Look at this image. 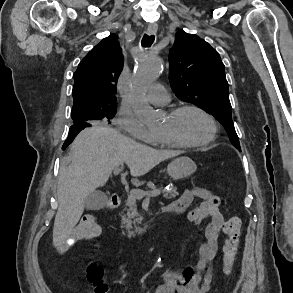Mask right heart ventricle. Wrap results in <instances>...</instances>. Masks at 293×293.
<instances>
[{"label": "right heart ventricle", "mask_w": 293, "mask_h": 293, "mask_svg": "<svg viewBox=\"0 0 293 293\" xmlns=\"http://www.w3.org/2000/svg\"><path fill=\"white\" fill-rule=\"evenodd\" d=\"M154 146H158L160 148H170L173 145L163 141L159 136H155L154 140L151 142Z\"/></svg>", "instance_id": "obj_1"}]
</instances>
